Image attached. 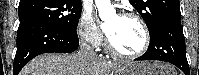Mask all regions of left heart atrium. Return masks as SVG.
<instances>
[{
  "mask_svg": "<svg viewBox=\"0 0 199 75\" xmlns=\"http://www.w3.org/2000/svg\"><path fill=\"white\" fill-rule=\"evenodd\" d=\"M103 29L105 33L110 37L113 33L114 27L111 25H104Z\"/></svg>",
  "mask_w": 199,
  "mask_h": 75,
  "instance_id": "obj_1",
  "label": "left heart atrium"
}]
</instances>
